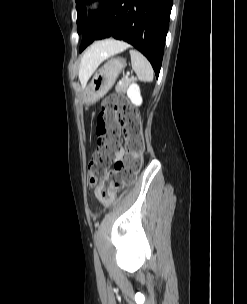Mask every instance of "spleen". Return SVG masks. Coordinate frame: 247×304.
Listing matches in <instances>:
<instances>
[{
	"mask_svg": "<svg viewBox=\"0 0 247 304\" xmlns=\"http://www.w3.org/2000/svg\"><path fill=\"white\" fill-rule=\"evenodd\" d=\"M132 67L140 81L151 82L153 80V68L146 57L137 50H130Z\"/></svg>",
	"mask_w": 247,
	"mask_h": 304,
	"instance_id": "1",
	"label": "spleen"
}]
</instances>
